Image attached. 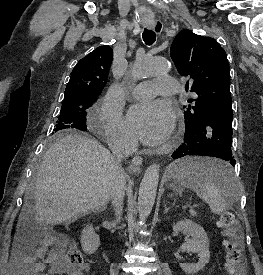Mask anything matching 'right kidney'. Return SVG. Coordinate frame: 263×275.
<instances>
[{"mask_svg":"<svg viewBox=\"0 0 263 275\" xmlns=\"http://www.w3.org/2000/svg\"><path fill=\"white\" fill-rule=\"evenodd\" d=\"M80 241L83 251L87 254H93L100 245L99 235L95 233L92 225L82 230Z\"/></svg>","mask_w":263,"mask_h":275,"instance_id":"ca27d5eb","label":"right kidney"}]
</instances>
